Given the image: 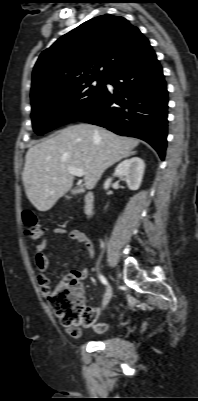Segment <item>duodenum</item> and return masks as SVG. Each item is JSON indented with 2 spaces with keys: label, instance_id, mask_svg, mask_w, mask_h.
Returning <instances> with one entry per match:
<instances>
[{
  "label": "duodenum",
  "instance_id": "duodenum-1",
  "mask_svg": "<svg viewBox=\"0 0 198 401\" xmlns=\"http://www.w3.org/2000/svg\"><path fill=\"white\" fill-rule=\"evenodd\" d=\"M95 195L92 191H87L84 197V213L91 217L94 214Z\"/></svg>",
  "mask_w": 198,
  "mask_h": 401
}]
</instances>
